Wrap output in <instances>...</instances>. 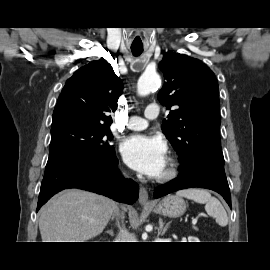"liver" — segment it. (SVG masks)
Wrapping results in <instances>:
<instances>
[{"label":"liver","mask_w":270,"mask_h":270,"mask_svg":"<svg viewBox=\"0 0 270 270\" xmlns=\"http://www.w3.org/2000/svg\"><path fill=\"white\" fill-rule=\"evenodd\" d=\"M117 204L107 197L70 189L49 201L41 211L42 242H85L103 232Z\"/></svg>","instance_id":"liver-1"}]
</instances>
